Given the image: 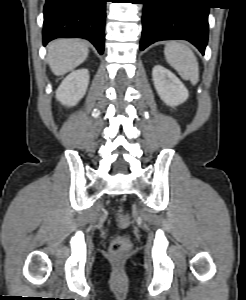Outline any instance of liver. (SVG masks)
<instances>
[{
  "label": "liver",
  "instance_id": "1",
  "mask_svg": "<svg viewBox=\"0 0 246 300\" xmlns=\"http://www.w3.org/2000/svg\"><path fill=\"white\" fill-rule=\"evenodd\" d=\"M88 54V44L78 39H56L47 46V62L57 76L75 69Z\"/></svg>",
  "mask_w": 246,
  "mask_h": 300
}]
</instances>
